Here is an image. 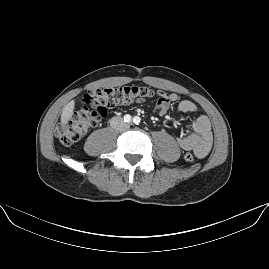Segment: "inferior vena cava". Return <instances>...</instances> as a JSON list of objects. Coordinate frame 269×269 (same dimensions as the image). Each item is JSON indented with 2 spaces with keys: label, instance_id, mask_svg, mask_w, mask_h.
<instances>
[{
  "label": "inferior vena cava",
  "instance_id": "inferior-vena-cava-1",
  "mask_svg": "<svg viewBox=\"0 0 269 269\" xmlns=\"http://www.w3.org/2000/svg\"><path fill=\"white\" fill-rule=\"evenodd\" d=\"M110 125L113 129L117 131H125L129 128V124L123 121V118L120 116L113 117L110 120Z\"/></svg>",
  "mask_w": 269,
  "mask_h": 269
}]
</instances>
